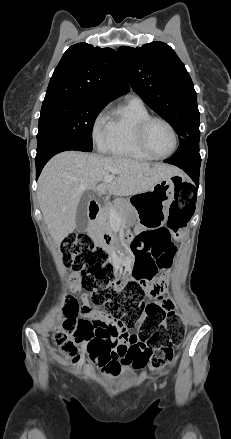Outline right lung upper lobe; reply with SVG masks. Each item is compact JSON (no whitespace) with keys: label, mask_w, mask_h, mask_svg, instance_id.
I'll list each match as a JSON object with an SVG mask.
<instances>
[{"label":"right lung upper lobe","mask_w":231,"mask_h":439,"mask_svg":"<svg viewBox=\"0 0 231 439\" xmlns=\"http://www.w3.org/2000/svg\"><path fill=\"white\" fill-rule=\"evenodd\" d=\"M128 91L115 50L78 43L55 68L43 103L87 100L107 105Z\"/></svg>","instance_id":"1"}]
</instances>
